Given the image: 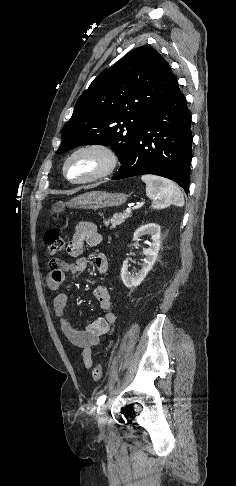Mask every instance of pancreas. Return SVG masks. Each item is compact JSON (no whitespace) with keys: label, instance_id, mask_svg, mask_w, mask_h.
Returning <instances> with one entry per match:
<instances>
[{"label":"pancreas","instance_id":"1","mask_svg":"<svg viewBox=\"0 0 236 486\" xmlns=\"http://www.w3.org/2000/svg\"><path fill=\"white\" fill-rule=\"evenodd\" d=\"M131 217V213H119V214H114L111 219H107L104 221V224L106 226H109L111 224L110 228H115L118 225H121L122 223L125 222L127 218Z\"/></svg>","mask_w":236,"mask_h":486}]
</instances>
